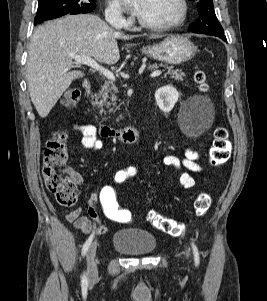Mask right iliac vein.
Instances as JSON below:
<instances>
[{"label": "right iliac vein", "instance_id": "right-iliac-vein-1", "mask_svg": "<svg viewBox=\"0 0 267 301\" xmlns=\"http://www.w3.org/2000/svg\"><path fill=\"white\" fill-rule=\"evenodd\" d=\"M96 250H97V243L94 242L89 247V249L87 250V253H86L87 275H88L89 281L95 280L98 276V268H97V263L95 260Z\"/></svg>", "mask_w": 267, "mask_h": 301}]
</instances>
